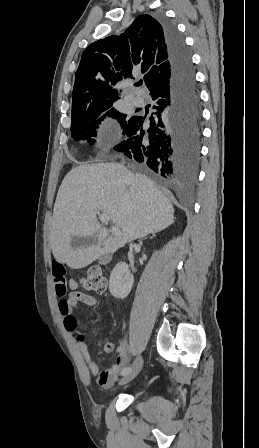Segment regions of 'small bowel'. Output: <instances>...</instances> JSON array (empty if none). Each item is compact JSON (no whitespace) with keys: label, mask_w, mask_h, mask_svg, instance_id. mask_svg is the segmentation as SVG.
Wrapping results in <instances>:
<instances>
[{"label":"small bowel","mask_w":259,"mask_h":448,"mask_svg":"<svg viewBox=\"0 0 259 448\" xmlns=\"http://www.w3.org/2000/svg\"><path fill=\"white\" fill-rule=\"evenodd\" d=\"M51 271L55 291L58 297L66 294L67 286L70 289L67 297L62 298L58 304L59 313L63 319L64 327L68 331H77V320L73 314V310L82 303L86 306H95L97 299L91 295L83 293L79 290L78 283L74 279H67L65 266L58 260H53ZM78 350L87 364V373L85 378L89 380L90 375L95 377L96 384L102 389L111 388L119 378L122 369L125 368L129 361L128 345L125 340L121 341L117 348V358L112 367L101 370L98 364L93 360L90 349L84 338L78 334L77 342ZM114 344L106 340L104 343V351L110 354L114 351Z\"/></svg>","instance_id":"obj_1"}]
</instances>
